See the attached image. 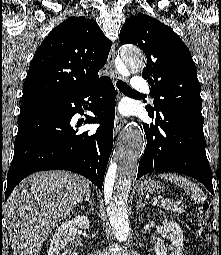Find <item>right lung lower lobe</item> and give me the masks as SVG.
<instances>
[{
  "mask_svg": "<svg viewBox=\"0 0 221 255\" xmlns=\"http://www.w3.org/2000/svg\"><path fill=\"white\" fill-rule=\"evenodd\" d=\"M99 123L96 131H80L71 126L76 113L87 107ZM116 91L104 78L81 91L21 105L14 157L7 175L5 200L14 187L28 175L45 170L64 169L79 173L102 190L104 174L113 147ZM82 123H77L80 126ZM2 201V195L0 196Z\"/></svg>",
  "mask_w": 221,
  "mask_h": 255,
  "instance_id": "98d812e1",
  "label": "right lung lower lobe"
}]
</instances>
